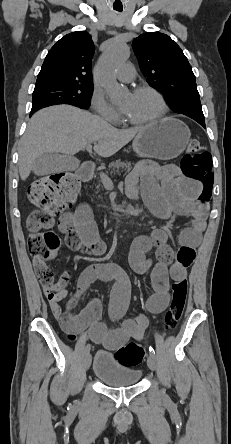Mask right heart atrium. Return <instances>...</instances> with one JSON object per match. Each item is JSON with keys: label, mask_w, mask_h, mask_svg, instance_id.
Wrapping results in <instances>:
<instances>
[{"label": "right heart atrium", "mask_w": 231, "mask_h": 444, "mask_svg": "<svg viewBox=\"0 0 231 444\" xmlns=\"http://www.w3.org/2000/svg\"><path fill=\"white\" fill-rule=\"evenodd\" d=\"M91 104L95 113L100 117L111 122H116L119 119L117 110L107 101L102 92H93Z\"/></svg>", "instance_id": "obj_1"}]
</instances>
